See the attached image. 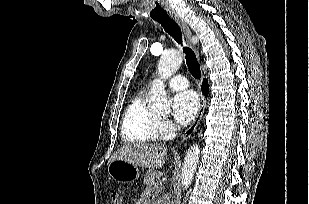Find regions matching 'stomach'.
I'll use <instances>...</instances> for the list:
<instances>
[{
  "mask_svg": "<svg viewBox=\"0 0 309 204\" xmlns=\"http://www.w3.org/2000/svg\"><path fill=\"white\" fill-rule=\"evenodd\" d=\"M109 176L120 183H132L140 177L138 166L124 160H113L108 163Z\"/></svg>",
  "mask_w": 309,
  "mask_h": 204,
  "instance_id": "obj_1",
  "label": "stomach"
}]
</instances>
